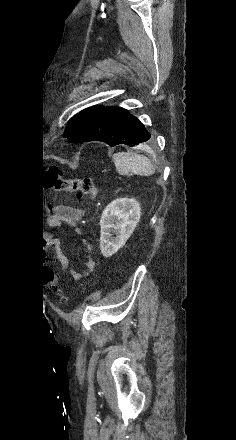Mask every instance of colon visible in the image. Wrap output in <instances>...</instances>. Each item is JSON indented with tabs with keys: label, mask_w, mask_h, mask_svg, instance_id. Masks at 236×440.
<instances>
[{
	"label": "colon",
	"mask_w": 236,
	"mask_h": 440,
	"mask_svg": "<svg viewBox=\"0 0 236 440\" xmlns=\"http://www.w3.org/2000/svg\"><path fill=\"white\" fill-rule=\"evenodd\" d=\"M46 184L50 190L69 192L76 195L79 200L92 199L97 194V187L92 177L82 178H64L62 171L57 166H50L46 170ZM46 285H57V276H46ZM54 291L60 296V300L65 302V297L60 294L57 286H54Z\"/></svg>",
	"instance_id": "colon-1"
}]
</instances>
